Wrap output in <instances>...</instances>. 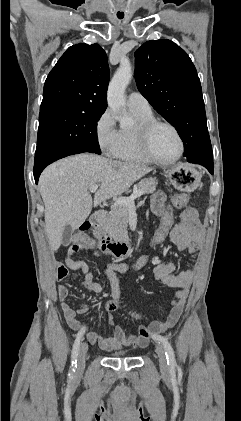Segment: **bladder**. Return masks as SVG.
I'll return each mask as SVG.
<instances>
[{"label":"bladder","mask_w":241,"mask_h":421,"mask_svg":"<svg viewBox=\"0 0 241 421\" xmlns=\"http://www.w3.org/2000/svg\"><path fill=\"white\" fill-rule=\"evenodd\" d=\"M113 357H126L128 356V353L125 351H117L111 354Z\"/></svg>","instance_id":"obj_1"}]
</instances>
